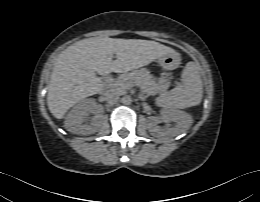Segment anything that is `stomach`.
Listing matches in <instances>:
<instances>
[{
  "label": "stomach",
  "mask_w": 260,
  "mask_h": 202,
  "mask_svg": "<svg viewBox=\"0 0 260 202\" xmlns=\"http://www.w3.org/2000/svg\"><path fill=\"white\" fill-rule=\"evenodd\" d=\"M158 62L163 70L171 71L178 67L180 58L175 52H172L159 57Z\"/></svg>",
  "instance_id": "obj_1"
}]
</instances>
